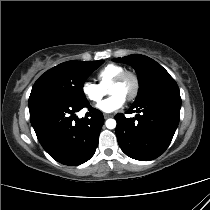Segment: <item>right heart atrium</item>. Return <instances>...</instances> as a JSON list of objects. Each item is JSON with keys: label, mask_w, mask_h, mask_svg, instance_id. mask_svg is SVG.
<instances>
[{"label": "right heart atrium", "mask_w": 210, "mask_h": 210, "mask_svg": "<svg viewBox=\"0 0 210 210\" xmlns=\"http://www.w3.org/2000/svg\"><path fill=\"white\" fill-rule=\"evenodd\" d=\"M81 93L89 103H97L101 100L104 90L96 83L86 80L81 84Z\"/></svg>", "instance_id": "obj_1"}]
</instances>
